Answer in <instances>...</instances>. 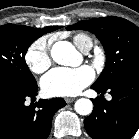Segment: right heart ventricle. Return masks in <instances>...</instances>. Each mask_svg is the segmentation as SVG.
Returning a JSON list of instances; mask_svg holds the SVG:
<instances>
[{"label": "right heart ventricle", "mask_w": 139, "mask_h": 139, "mask_svg": "<svg viewBox=\"0 0 139 139\" xmlns=\"http://www.w3.org/2000/svg\"><path fill=\"white\" fill-rule=\"evenodd\" d=\"M73 41L75 45L82 51L86 47V45L93 44L91 37L84 33L76 34L73 37Z\"/></svg>", "instance_id": "right-heart-ventricle-1"}]
</instances>
